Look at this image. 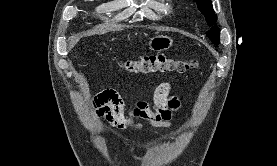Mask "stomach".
<instances>
[{
  "mask_svg": "<svg viewBox=\"0 0 277 166\" xmlns=\"http://www.w3.org/2000/svg\"><path fill=\"white\" fill-rule=\"evenodd\" d=\"M173 40L169 36H155L149 42V48L152 51L161 52L168 50L172 46Z\"/></svg>",
  "mask_w": 277,
  "mask_h": 166,
  "instance_id": "0dacf381",
  "label": "stomach"
}]
</instances>
